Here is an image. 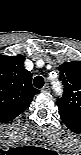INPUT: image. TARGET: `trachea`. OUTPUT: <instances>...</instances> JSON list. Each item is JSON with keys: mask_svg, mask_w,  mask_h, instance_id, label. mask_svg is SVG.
<instances>
[{"mask_svg": "<svg viewBox=\"0 0 81 155\" xmlns=\"http://www.w3.org/2000/svg\"><path fill=\"white\" fill-rule=\"evenodd\" d=\"M33 84L36 88H42L44 86V79L41 76H37L33 80Z\"/></svg>", "mask_w": 81, "mask_h": 155, "instance_id": "trachea-1", "label": "trachea"}]
</instances>
